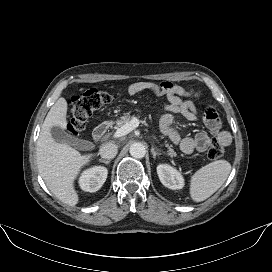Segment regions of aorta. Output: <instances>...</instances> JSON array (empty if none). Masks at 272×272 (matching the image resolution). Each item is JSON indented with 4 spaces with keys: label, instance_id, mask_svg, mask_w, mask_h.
Listing matches in <instances>:
<instances>
[{
    "label": "aorta",
    "instance_id": "762f6f07",
    "mask_svg": "<svg viewBox=\"0 0 272 272\" xmlns=\"http://www.w3.org/2000/svg\"><path fill=\"white\" fill-rule=\"evenodd\" d=\"M130 155L134 158H143L146 154L145 146L142 143L136 142L130 146Z\"/></svg>",
    "mask_w": 272,
    "mask_h": 272
}]
</instances>
